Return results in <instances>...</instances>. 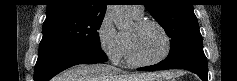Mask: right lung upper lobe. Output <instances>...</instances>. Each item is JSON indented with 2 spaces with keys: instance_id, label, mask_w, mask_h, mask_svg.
<instances>
[{
  "instance_id": "1",
  "label": "right lung upper lobe",
  "mask_w": 237,
  "mask_h": 81,
  "mask_svg": "<svg viewBox=\"0 0 237 81\" xmlns=\"http://www.w3.org/2000/svg\"><path fill=\"white\" fill-rule=\"evenodd\" d=\"M107 0H50L46 19L57 16L104 17Z\"/></svg>"
}]
</instances>
